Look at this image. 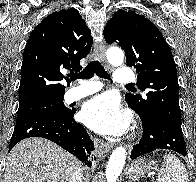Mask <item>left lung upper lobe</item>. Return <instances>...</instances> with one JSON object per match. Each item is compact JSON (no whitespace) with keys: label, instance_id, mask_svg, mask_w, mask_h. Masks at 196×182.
<instances>
[{"label":"left lung upper lobe","instance_id":"obj_1","mask_svg":"<svg viewBox=\"0 0 196 182\" xmlns=\"http://www.w3.org/2000/svg\"><path fill=\"white\" fill-rule=\"evenodd\" d=\"M107 43H118L127 66L138 74L137 86L146 97L126 94L130 107L141 116L157 114L181 126L179 85L172 52L158 28L134 11L119 10L104 28Z\"/></svg>","mask_w":196,"mask_h":182}]
</instances>
